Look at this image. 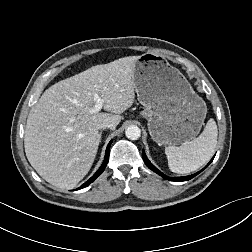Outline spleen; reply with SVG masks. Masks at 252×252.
I'll list each match as a JSON object with an SVG mask.
<instances>
[{"label":"spleen","instance_id":"1","mask_svg":"<svg viewBox=\"0 0 252 252\" xmlns=\"http://www.w3.org/2000/svg\"><path fill=\"white\" fill-rule=\"evenodd\" d=\"M218 129L214 119H209L203 132L192 141L181 146H168L165 154L169 169L178 174H187L199 169L214 154Z\"/></svg>","mask_w":252,"mask_h":252}]
</instances>
